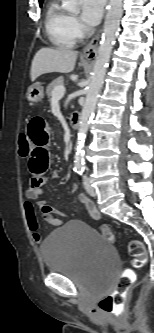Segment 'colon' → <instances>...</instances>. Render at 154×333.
Segmentation results:
<instances>
[{"mask_svg":"<svg viewBox=\"0 0 154 333\" xmlns=\"http://www.w3.org/2000/svg\"><path fill=\"white\" fill-rule=\"evenodd\" d=\"M19 154L21 157H29L32 151V144L26 133L19 137ZM99 232L110 241L114 240V234L107 224H101ZM130 255L133 257L132 264L134 267H142L147 261L146 250L141 241L133 240L128 245ZM134 279V273L131 270H125L117 281L113 292L105 295L99 301L101 311L119 315L124 309L126 296Z\"/></svg>","mask_w":154,"mask_h":333,"instance_id":"obj_1","label":"colon"}]
</instances>
